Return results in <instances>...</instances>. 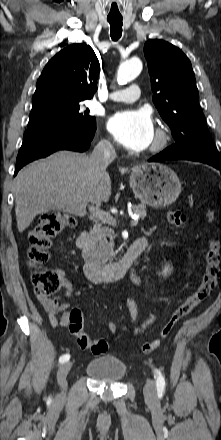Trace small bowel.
Segmentation results:
<instances>
[{"instance_id": "small-bowel-1", "label": "small bowel", "mask_w": 221, "mask_h": 440, "mask_svg": "<svg viewBox=\"0 0 221 440\" xmlns=\"http://www.w3.org/2000/svg\"><path fill=\"white\" fill-rule=\"evenodd\" d=\"M130 284L134 287H140L142 284L141 278L135 271L130 275ZM63 285L64 292L59 297H46L38 291H35V296L48 314L49 322L53 327H67L69 324V313L73 308L69 302L64 301L65 298L70 297L73 293L72 284L68 280H63ZM124 294L125 304L128 309V320L123 332L132 330L134 335H139L156 322L157 316L151 314L142 323L136 325L139 315L138 304L128 287H124ZM58 313H62L60 319L57 318ZM121 335L122 334H116L115 338L118 339Z\"/></svg>"}]
</instances>
